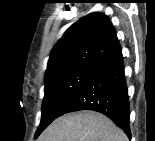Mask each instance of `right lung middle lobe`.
<instances>
[{
  "label": "right lung middle lobe",
  "mask_w": 155,
  "mask_h": 141,
  "mask_svg": "<svg viewBox=\"0 0 155 141\" xmlns=\"http://www.w3.org/2000/svg\"><path fill=\"white\" fill-rule=\"evenodd\" d=\"M92 68H75L45 79V95L42 104L40 125L36 131L37 138L56 118L61 109L93 73Z\"/></svg>",
  "instance_id": "1"
}]
</instances>
